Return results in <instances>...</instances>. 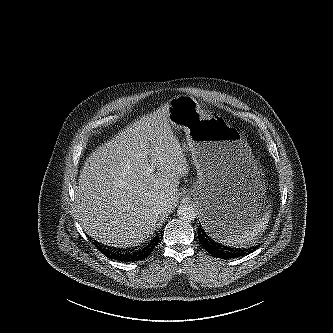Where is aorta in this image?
I'll use <instances>...</instances> for the list:
<instances>
[{
	"instance_id": "aorta-1",
	"label": "aorta",
	"mask_w": 333,
	"mask_h": 333,
	"mask_svg": "<svg viewBox=\"0 0 333 333\" xmlns=\"http://www.w3.org/2000/svg\"><path fill=\"white\" fill-rule=\"evenodd\" d=\"M177 216L182 221L191 222L196 217V211H195L194 207H192L190 205H187V204L182 205V206H179V208L177 210Z\"/></svg>"
}]
</instances>
